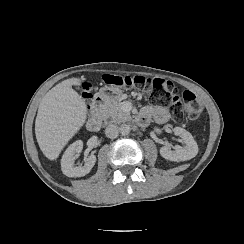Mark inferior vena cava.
<instances>
[{"mask_svg": "<svg viewBox=\"0 0 244 244\" xmlns=\"http://www.w3.org/2000/svg\"><path fill=\"white\" fill-rule=\"evenodd\" d=\"M119 133V127L116 124H111L106 127L105 134L109 138H116Z\"/></svg>", "mask_w": 244, "mask_h": 244, "instance_id": "inferior-vena-cava-1", "label": "inferior vena cava"}]
</instances>
